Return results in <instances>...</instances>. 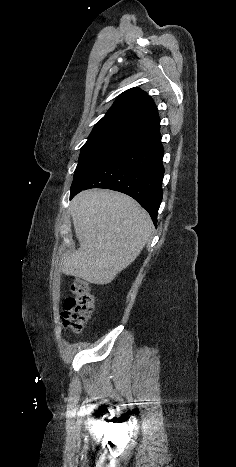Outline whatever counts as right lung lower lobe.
<instances>
[{
    "label": "right lung lower lobe",
    "instance_id": "right-lung-lower-lobe-1",
    "mask_svg": "<svg viewBox=\"0 0 236 467\" xmlns=\"http://www.w3.org/2000/svg\"><path fill=\"white\" fill-rule=\"evenodd\" d=\"M160 125L126 142L71 186L70 198L84 189L107 188L133 197L157 224L162 201L164 149Z\"/></svg>",
    "mask_w": 236,
    "mask_h": 467
}]
</instances>
